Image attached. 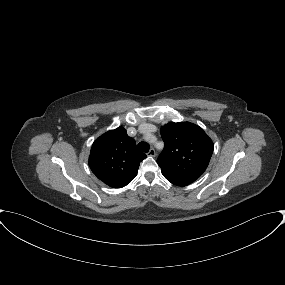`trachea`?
<instances>
[{
  "mask_svg": "<svg viewBox=\"0 0 285 285\" xmlns=\"http://www.w3.org/2000/svg\"><path fill=\"white\" fill-rule=\"evenodd\" d=\"M138 150L141 152H148L149 151V144L142 141L138 144Z\"/></svg>",
  "mask_w": 285,
  "mask_h": 285,
  "instance_id": "3493384b",
  "label": "trachea"
}]
</instances>
